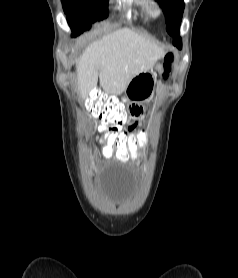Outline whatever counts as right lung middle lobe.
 I'll list each match as a JSON object with an SVG mask.
<instances>
[{
  "label": "right lung middle lobe",
  "mask_w": 238,
  "mask_h": 278,
  "mask_svg": "<svg viewBox=\"0 0 238 278\" xmlns=\"http://www.w3.org/2000/svg\"><path fill=\"white\" fill-rule=\"evenodd\" d=\"M66 14L74 13L79 16L77 33L90 28L92 22L108 16L107 2L102 0H62Z\"/></svg>",
  "instance_id": "dd1d6c3e"
}]
</instances>
